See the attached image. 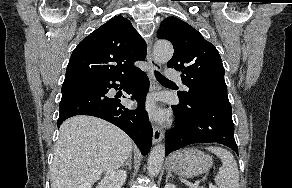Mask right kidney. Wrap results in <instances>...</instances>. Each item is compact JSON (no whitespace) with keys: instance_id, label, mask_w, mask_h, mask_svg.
<instances>
[{"instance_id":"obj_1","label":"right kidney","mask_w":292,"mask_h":188,"mask_svg":"<svg viewBox=\"0 0 292 188\" xmlns=\"http://www.w3.org/2000/svg\"><path fill=\"white\" fill-rule=\"evenodd\" d=\"M126 172L122 170L114 171L106 175L96 186V188H122L126 180Z\"/></svg>"}]
</instances>
